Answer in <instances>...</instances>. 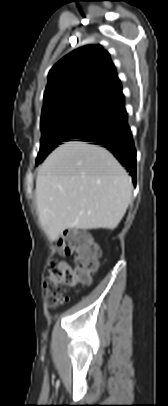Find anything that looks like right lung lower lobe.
Instances as JSON below:
<instances>
[{
    "instance_id": "98d812e1",
    "label": "right lung lower lobe",
    "mask_w": 168,
    "mask_h": 406,
    "mask_svg": "<svg viewBox=\"0 0 168 406\" xmlns=\"http://www.w3.org/2000/svg\"><path fill=\"white\" fill-rule=\"evenodd\" d=\"M112 118L104 125L79 138L80 141L92 142L108 149L118 161L126 167L135 183L136 150L130 127L127 124V113L122 94L110 104Z\"/></svg>"
}]
</instances>
